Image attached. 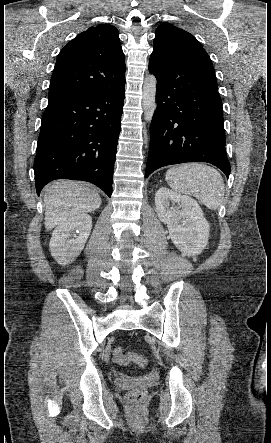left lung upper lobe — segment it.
I'll return each mask as SVG.
<instances>
[{
  "label": "left lung upper lobe",
  "mask_w": 271,
  "mask_h": 443,
  "mask_svg": "<svg viewBox=\"0 0 271 443\" xmlns=\"http://www.w3.org/2000/svg\"><path fill=\"white\" fill-rule=\"evenodd\" d=\"M153 52L213 67L208 54L192 34L168 23L156 29Z\"/></svg>",
  "instance_id": "obj_1"
}]
</instances>
